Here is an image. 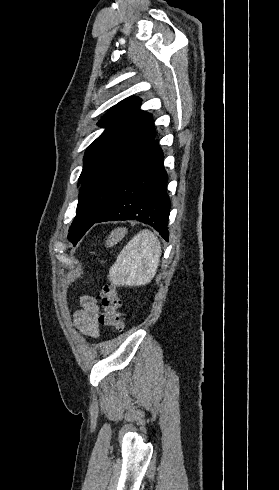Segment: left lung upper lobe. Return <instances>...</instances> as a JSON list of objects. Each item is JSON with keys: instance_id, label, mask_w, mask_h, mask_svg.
<instances>
[{"instance_id": "1", "label": "left lung upper lobe", "mask_w": 279, "mask_h": 490, "mask_svg": "<svg viewBox=\"0 0 279 490\" xmlns=\"http://www.w3.org/2000/svg\"><path fill=\"white\" fill-rule=\"evenodd\" d=\"M139 98H127L101 119L105 131L87 148L78 183L77 214L68 240L75 246L111 207L120 187L155 139L152 115L140 110Z\"/></svg>"}]
</instances>
